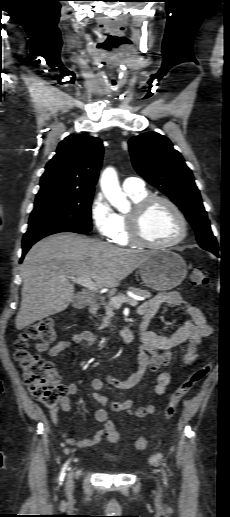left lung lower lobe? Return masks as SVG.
I'll use <instances>...</instances> for the list:
<instances>
[{
	"instance_id": "left-lung-lower-lobe-1",
	"label": "left lung lower lobe",
	"mask_w": 230,
	"mask_h": 517,
	"mask_svg": "<svg viewBox=\"0 0 230 517\" xmlns=\"http://www.w3.org/2000/svg\"><path fill=\"white\" fill-rule=\"evenodd\" d=\"M212 253L215 254L216 256H218V250L213 251Z\"/></svg>"
}]
</instances>
